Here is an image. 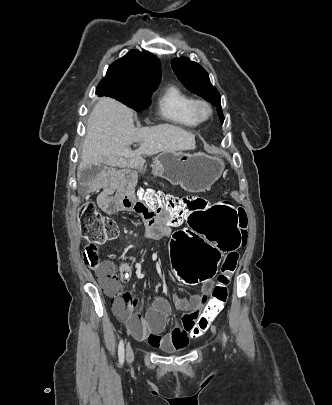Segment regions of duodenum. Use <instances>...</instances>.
I'll list each match as a JSON object with an SVG mask.
<instances>
[{
	"label": "duodenum",
	"mask_w": 332,
	"mask_h": 405,
	"mask_svg": "<svg viewBox=\"0 0 332 405\" xmlns=\"http://www.w3.org/2000/svg\"><path fill=\"white\" fill-rule=\"evenodd\" d=\"M150 217L152 219H154V220H159L160 219V216H158L155 211L150 214Z\"/></svg>",
	"instance_id": "1"
}]
</instances>
